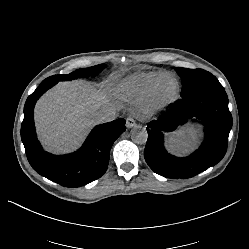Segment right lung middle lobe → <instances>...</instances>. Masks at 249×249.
I'll return each instance as SVG.
<instances>
[{
  "label": "right lung middle lobe",
  "instance_id": "right-lung-middle-lobe-1",
  "mask_svg": "<svg viewBox=\"0 0 249 249\" xmlns=\"http://www.w3.org/2000/svg\"><path fill=\"white\" fill-rule=\"evenodd\" d=\"M105 68L104 64L92 66L84 69H77L74 72L67 75H54L46 78L43 82H54L57 83L59 81H70L76 78H85V77H94L98 73H100Z\"/></svg>",
  "mask_w": 249,
  "mask_h": 249
}]
</instances>
